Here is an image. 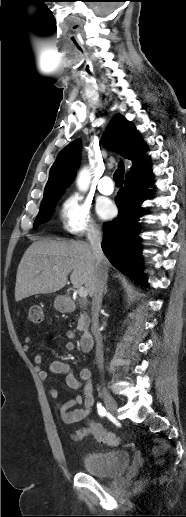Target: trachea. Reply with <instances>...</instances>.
Segmentation results:
<instances>
[{"label": "trachea", "mask_w": 186, "mask_h": 517, "mask_svg": "<svg viewBox=\"0 0 186 517\" xmlns=\"http://www.w3.org/2000/svg\"><path fill=\"white\" fill-rule=\"evenodd\" d=\"M125 166L123 162L120 163L118 169L115 171L113 175V180L117 185H123Z\"/></svg>", "instance_id": "trachea-1"}]
</instances>
